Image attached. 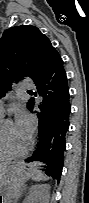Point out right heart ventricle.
Here are the masks:
<instances>
[{"mask_svg": "<svg viewBox=\"0 0 89 203\" xmlns=\"http://www.w3.org/2000/svg\"><path fill=\"white\" fill-rule=\"evenodd\" d=\"M0 146H1V145H0ZM0 158H1V159H4V158H7V157H6L3 153H1V154H0Z\"/></svg>", "mask_w": 89, "mask_h": 203, "instance_id": "e07e8e85", "label": "right heart ventricle"}]
</instances>
